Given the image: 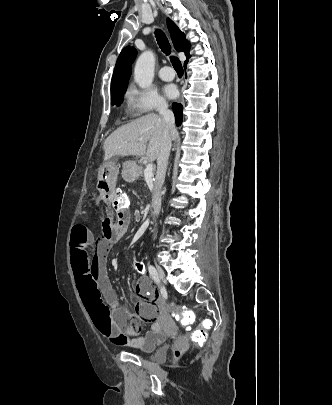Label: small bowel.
Masks as SVG:
<instances>
[{"mask_svg": "<svg viewBox=\"0 0 332 405\" xmlns=\"http://www.w3.org/2000/svg\"><path fill=\"white\" fill-rule=\"evenodd\" d=\"M126 169H137L135 161H126ZM119 166L114 159L99 165V202L113 203V183L117 182ZM109 212L102 221V236L95 239L84 225H75L71 230L69 249L70 265L75 278L78 299L85 305V314L91 326L115 345L139 349H155L163 344L162 327L165 321V302L159 297L148 280L140 279L134 286V312L118 307L116 294L107 275L106 258L111 248L124 236L131 221V212ZM122 214V217H120ZM95 245V254L90 250ZM137 271V270H136ZM143 273L140 274H144ZM144 322H150L149 330L138 336Z\"/></svg>", "mask_w": 332, "mask_h": 405, "instance_id": "1", "label": "small bowel"}]
</instances>
